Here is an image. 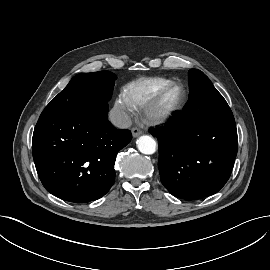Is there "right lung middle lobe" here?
<instances>
[{
	"mask_svg": "<svg viewBox=\"0 0 270 270\" xmlns=\"http://www.w3.org/2000/svg\"><path fill=\"white\" fill-rule=\"evenodd\" d=\"M116 75L109 71L80 73L46 106L41 115L80 112L110 100Z\"/></svg>",
	"mask_w": 270,
	"mask_h": 270,
	"instance_id": "right-lung-middle-lobe-1",
	"label": "right lung middle lobe"
}]
</instances>
